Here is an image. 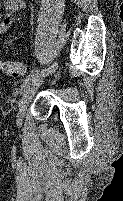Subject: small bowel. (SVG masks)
<instances>
[{
	"mask_svg": "<svg viewBox=\"0 0 123 201\" xmlns=\"http://www.w3.org/2000/svg\"><path fill=\"white\" fill-rule=\"evenodd\" d=\"M25 6L24 0H3V13L0 16V34L6 32L14 21V15Z\"/></svg>",
	"mask_w": 123,
	"mask_h": 201,
	"instance_id": "small-bowel-1",
	"label": "small bowel"
}]
</instances>
